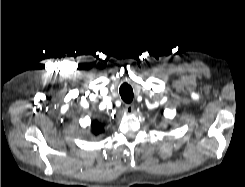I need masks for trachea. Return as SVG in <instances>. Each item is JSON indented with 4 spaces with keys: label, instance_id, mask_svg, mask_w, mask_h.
I'll return each instance as SVG.
<instances>
[{
    "label": "trachea",
    "instance_id": "3493384b",
    "mask_svg": "<svg viewBox=\"0 0 245 187\" xmlns=\"http://www.w3.org/2000/svg\"><path fill=\"white\" fill-rule=\"evenodd\" d=\"M119 93L121 95V98L124 102L130 103L133 100V89L132 87L127 84L123 83L119 88Z\"/></svg>",
    "mask_w": 245,
    "mask_h": 187
}]
</instances>
